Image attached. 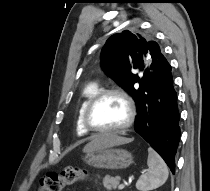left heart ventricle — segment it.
I'll use <instances>...</instances> for the list:
<instances>
[{
  "label": "left heart ventricle",
  "instance_id": "left-heart-ventricle-1",
  "mask_svg": "<svg viewBox=\"0 0 210 191\" xmlns=\"http://www.w3.org/2000/svg\"><path fill=\"white\" fill-rule=\"evenodd\" d=\"M128 117L127 105L117 95L103 97L93 108L91 122L103 129L117 128L125 123Z\"/></svg>",
  "mask_w": 210,
  "mask_h": 191
}]
</instances>
